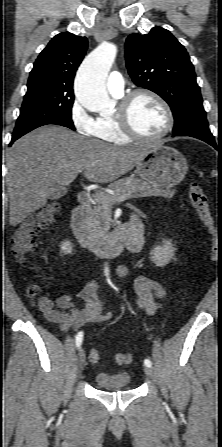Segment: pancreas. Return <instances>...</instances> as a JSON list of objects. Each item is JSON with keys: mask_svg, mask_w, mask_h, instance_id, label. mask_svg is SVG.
<instances>
[{"mask_svg": "<svg viewBox=\"0 0 222 447\" xmlns=\"http://www.w3.org/2000/svg\"><path fill=\"white\" fill-rule=\"evenodd\" d=\"M109 188L114 190L115 195L97 191L93 195L96 205L89 210L86 219L88 233L95 241L105 236L110 229L111 220L108 219L107 213L114 203L109 199L125 193L130 194L132 198L162 196L169 199L175 194V190L163 189L134 176L119 179L110 184Z\"/></svg>", "mask_w": 222, "mask_h": 447, "instance_id": "cf45deb5", "label": "pancreas"}]
</instances>
